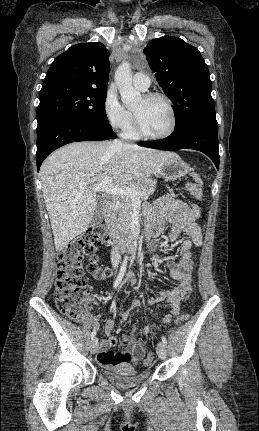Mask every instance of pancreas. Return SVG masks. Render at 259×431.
I'll return each mask as SVG.
<instances>
[{
    "label": "pancreas",
    "mask_w": 259,
    "mask_h": 431,
    "mask_svg": "<svg viewBox=\"0 0 259 431\" xmlns=\"http://www.w3.org/2000/svg\"><path fill=\"white\" fill-rule=\"evenodd\" d=\"M155 179H143L133 182L129 187L134 188L142 193L140 201L146 200L152 195L156 188ZM133 213V200L129 197L122 196L118 199L113 212L110 216L111 225L115 227L119 233H128L131 215Z\"/></svg>",
    "instance_id": "obj_1"
}]
</instances>
